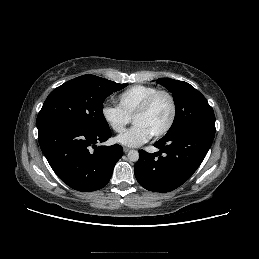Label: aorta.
Returning a JSON list of instances; mask_svg holds the SVG:
<instances>
[{
  "instance_id": "1",
  "label": "aorta",
  "mask_w": 259,
  "mask_h": 259,
  "mask_svg": "<svg viewBox=\"0 0 259 259\" xmlns=\"http://www.w3.org/2000/svg\"><path fill=\"white\" fill-rule=\"evenodd\" d=\"M128 159L132 162H136L139 159V153L136 150H130L127 155Z\"/></svg>"
}]
</instances>
